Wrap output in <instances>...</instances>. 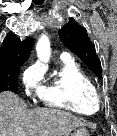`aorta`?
<instances>
[{"instance_id":"1","label":"aorta","mask_w":117,"mask_h":136,"mask_svg":"<svg viewBox=\"0 0 117 136\" xmlns=\"http://www.w3.org/2000/svg\"><path fill=\"white\" fill-rule=\"evenodd\" d=\"M36 51L39 59L43 62H48L51 55L50 42L47 36L43 35L36 46Z\"/></svg>"}]
</instances>
